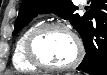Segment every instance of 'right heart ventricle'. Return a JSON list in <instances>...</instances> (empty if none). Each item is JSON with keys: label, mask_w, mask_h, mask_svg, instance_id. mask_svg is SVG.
Returning a JSON list of instances; mask_svg holds the SVG:
<instances>
[{"label": "right heart ventricle", "mask_w": 107, "mask_h": 75, "mask_svg": "<svg viewBox=\"0 0 107 75\" xmlns=\"http://www.w3.org/2000/svg\"><path fill=\"white\" fill-rule=\"evenodd\" d=\"M39 24L34 23L28 26L16 41L14 53H13V65L18 71L22 72H33L37 70V67L32 65L25 56V41L28 35L33 29H35Z\"/></svg>", "instance_id": "obj_1"}]
</instances>
